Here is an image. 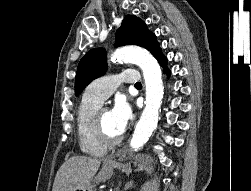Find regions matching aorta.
I'll list each match as a JSON object with an SVG mask.
<instances>
[{"label":"aorta","instance_id":"762f6f07","mask_svg":"<svg viewBox=\"0 0 251 191\" xmlns=\"http://www.w3.org/2000/svg\"><path fill=\"white\" fill-rule=\"evenodd\" d=\"M112 58L115 62L136 64L143 72L146 86V105L130 141L131 147L139 149V147H143L144 143H147L157 127L159 109L164 96L160 66L147 50L133 48V46L119 48L114 52Z\"/></svg>","mask_w":251,"mask_h":191}]
</instances>
